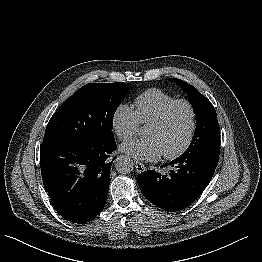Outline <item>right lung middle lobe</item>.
<instances>
[{
  "label": "right lung middle lobe",
  "instance_id": "1",
  "mask_svg": "<svg viewBox=\"0 0 262 262\" xmlns=\"http://www.w3.org/2000/svg\"><path fill=\"white\" fill-rule=\"evenodd\" d=\"M130 89L126 83H91L69 97L51 117L48 139L104 141L114 139L113 117Z\"/></svg>",
  "mask_w": 262,
  "mask_h": 262
}]
</instances>
